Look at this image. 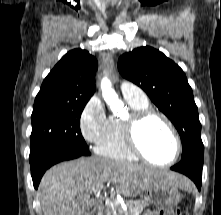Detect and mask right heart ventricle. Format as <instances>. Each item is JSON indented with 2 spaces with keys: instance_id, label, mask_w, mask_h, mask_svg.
Listing matches in <instances>:
<instances>
[{
  "instance_id": "right-heart-ventricle-1",
  "label": "right heart ventricle",
  "mask_w": 221,
  "mask_h": 215,
  "mask_svg": "<svg viewBox=\"0 0 221 215\" xmlns=\"http://www.w3.org/2000/svg\"><path fill=\"white\" fill-rule=\"evenodd\" d=\"M124 99L132 111L149 108L147 99ZM123 121V119L116 116H110L108 118L106 132L102 139L96 144V151L98 154L113 160L133 162L137 160V157L132 154L127 147L124 137Z\"/></svg>"
}]
</instances>
